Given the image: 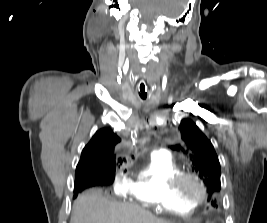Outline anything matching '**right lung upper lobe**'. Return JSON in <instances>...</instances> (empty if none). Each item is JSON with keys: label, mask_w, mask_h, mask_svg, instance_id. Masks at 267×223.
Here are the masks:
<instances>
[{"label": "right lung upper lobe", "mask_w": 267, "mask_h": 223, "mask_svg": "<svg viewBox=\"0 0 267 223\" xmlns=\"http://www.w3.org/2000/svg\"><path fill=\"white\" fill-rule=\"evenodd\" d=\"M120 138L109 128L98 130L82 151L81 159L76 168V177L84 175L98 176L109 168L116 167L113 147ZM118 162H122L118 159Z\"/></svg>", "instance_id": "right-lung-upper-lobe-1"}]
</instances>
